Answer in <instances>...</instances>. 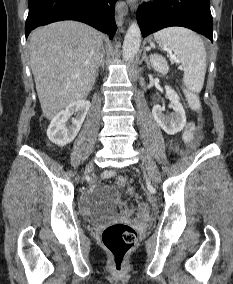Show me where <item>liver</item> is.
<instances>
[{
    "mask_svg": "<svg viewBox=\"0 0 233 284\" xmlns=\"http://www.w3.org/2000/svg\"><path fill=\"white\" fill-rule=\"evenodd\" d=\"M101 51V33L76 21L55 22L31 33V68L47 119L87 97L96 79Z\"/></svg>",
    "mask_w": 233,
    "mask_h": 284,
    "instance_id": "6515ba94",
    "label": "liver"
}]
</instances>
